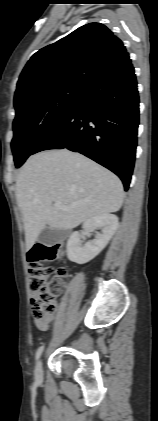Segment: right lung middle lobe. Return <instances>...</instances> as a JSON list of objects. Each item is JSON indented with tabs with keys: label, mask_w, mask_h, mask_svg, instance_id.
I'll use <instances>...</instances> for the list:
<instances>
[{
	"label": "right lung middle lobe",
	"mask_w": 158,
	"mask_h": 421,
	"mask_svg": "<svg viewBox=\"0 0 158 421\" xmlns=\"http://www.w3.org/2000/svg\"><path fill=\"white\" fill-rule=\"evenodd\" d=\"M84 86H62L27 96L14 104V137L11 148L16 167L32 155L35 147L61 121Z\"/></svg>",
	"instance_id": "obj_1"
}]
</instances>
